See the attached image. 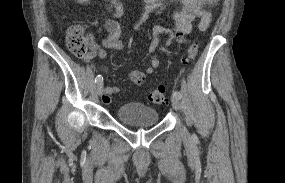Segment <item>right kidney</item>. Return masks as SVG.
<instances>
[{"instance_id": "ca27d5eb", "label": "right kidney", "mask_w": 285, "mask_h": 183, "mask_svg": "<svg viewBox=\"0 0 285 183\" xmlns=\"http://www.w3.org/2000/svg\"><path fill=\"white\" fill-rule=\"evenodd\" d=\"M89 0H77L78 3L80 4H84V3H87Z\"/></svg>"}]
</instances>
